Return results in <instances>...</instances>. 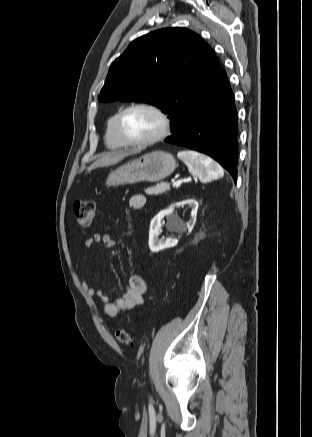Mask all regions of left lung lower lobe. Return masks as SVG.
I'll list each match as a JSON object with an SVG mask.
<instances>
[{
  "instance_id": "1",
  "label": "left lung lower lobe",
  "mask_w": 312,
  "mask_h": 437,
  "mask_svg": "<svg viewBox=\"0 0 312 437\" xmlns=\"http://www.w3.org/2000/svg\"><path fill=\"white\" fill-rule=\"evenodd\" d=\"M238 121L234 94L226 73L191 103L166 142L205 153L219 162L237 181Z\"/></svg>"
}]
</instances>
